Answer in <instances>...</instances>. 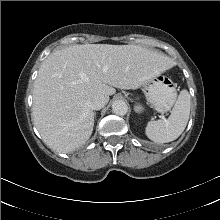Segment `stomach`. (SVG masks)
<instances>
[{
    "label": "stomach",
    "mask_w": 220,
    "mask_h": 220,
    "mask_svg": "<svg viewBox=\"0 0 220 220\" xmlns=\"http://www.w3.org/2000/svg\"><path fill=\"white\" fill-rule=\"evenodd\" d=\"M147 100L158 112H167L176 100V89L173 81L164 75H157L144 84Z\"/></svg>",
    "instance_id": "1"
}]
</instances>
